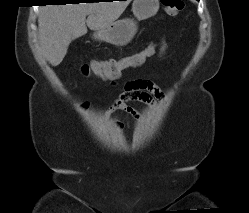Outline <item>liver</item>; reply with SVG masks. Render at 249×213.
Instances as JSON below:
<instances>
[{"label":"liver","mask_w":249,"mask_h":213,"mask_svg":"<svg viewBox=\"0 0 249 213\" xmlns=\"http://www.w3.org/2000/svg\"><path fill=\"white\" fill-rule=\"evenodd\" d=\"M130 1L43 6L38 17V38L48 62L52 66H58L71 41L85 35L87 26L91 30H99L112 24L125 11Z\"/></svg>","instance_id":"6515ba94"}]
</instances>
